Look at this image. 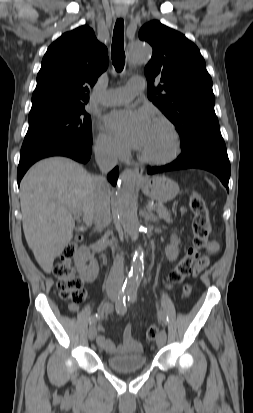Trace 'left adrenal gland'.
Returning a JSON list of instances; mask_svg holds the SVG:
<instances>
[{
    "label": "left adrenal gland",
    "instance_id": "1",
    "mask_svg": "<svg viewBox=\"0 0 253 413\" xmlns=\"http://www.w3.org/2000/svg\"><path fill=\"white\" fill-rule=\"evenodd\" d=\"M142 216L144 217V219L146 221H153V222H157V218L153 215V213L150 210H146L144 209Z\"/></svg>",
    "mask_w": 253,
    "mask_h": 413
}]
</instances>
